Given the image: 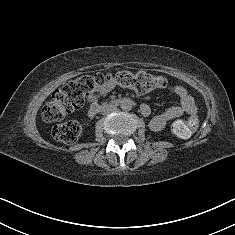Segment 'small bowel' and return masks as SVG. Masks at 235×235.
<instances>
[{
	"label": "small bowel",
	"instance_id": "c3829d8e",
	"mask_svg": "<svg viewBox=\"0 0 235 235\" xmlns=\"http://www.w3.org/2000/svg\"><path fill=\"white\" fill-rule=\"evenodd\" d=\"M114 87L115 85L108 84L104 89H102V92H109ZM174 93L178 96L179 103L177 105L171 106L164 113L154 117L151 120L150 127L154 131L162 130L171 119L181 116L184 112H190L193 110V98L182 86H175ZM141 112L144 116H148L151 112L150 107L148 105H142Z\"/></svg>",
	"mask_w": 235,
	"mask_h": 235
}]
</instances>
